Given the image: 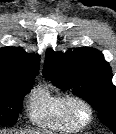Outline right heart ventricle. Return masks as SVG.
Segmentation results:
<instances>
[{
    "mask_svg": "<svg viewBox=\"0 0 116 134\" xmlns=\"http://www.w3.org/2000/svg\"><path fill=\"white\" fill-rule=\"evenodd\" d=\"M65 96L48 85H40L32 93L28 114L30 120L44 128L60 132H77L80 126L67 115L64 108Z\"/></svg>",
    "mask_w": 116,
    "mask_h": 134,
    "instance_id": "obj_1",
    "label": "right heart ventricle"
}]
</instances>
